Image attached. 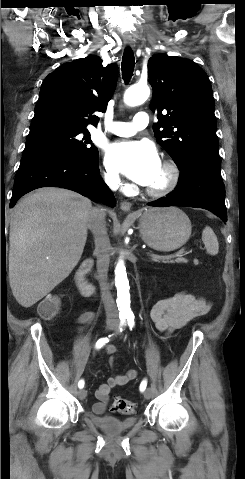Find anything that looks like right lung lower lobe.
<instances>
[{"label":"right lung lower lobe","mask_w":245,"mask_h":479,"mask_svg":"<svg viewBox=\"0 0 245 479\" xmlns=\"http://www.w3.org/2000/svg\"><path fill=\"white\" fill-rule=\"evenodd\" d=\"M98 166L78 156L56 152L23 159L15 176L10 207L26 193L47 186L70 189L115 206V198L101 179Z\"/></svg>","instance_id":"obj_1"}]
</instances>
